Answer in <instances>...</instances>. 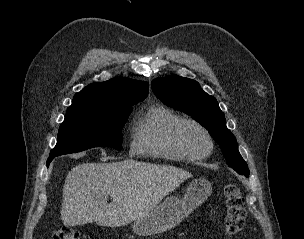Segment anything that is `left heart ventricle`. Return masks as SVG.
I'll return each mask as SVG.
<instances>
[{
	"label": "left heart ventricle",
	"mask_w": 304,
	"mask_h": 239,
	"mask_svg": "<svg viewBox=\"0 0 304 239\" xmlns=\"http://www.w3.org/2000/svg\"><path fill=\"white\" fill-rule=\"evenodd\" d=\"M184 145L192 152H204L208 148V140L205 134L197 127L188 125L181 133Z\"/></svg>",
	"instance_id": "b2bd125f"
}]
</instances>
